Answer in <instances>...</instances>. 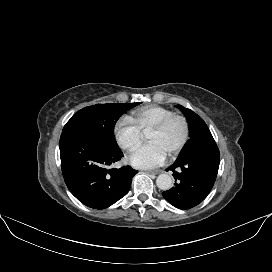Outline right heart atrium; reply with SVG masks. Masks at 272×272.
<instances>
[{
  "label": "right heart atrium",
  "mask_w": 272,
  "mask_h": 272,
  "mask_svg": "<svg viewBox=\"0 0 272 272\" xmlns=\"http://www.w3.org/2000/svg\"><path fill=\"white\" fill-rule=\"evenodd\" d=\"M114 136L122 149L132 151L141 143L142 133L130 119L121 118L115 123Z\"/></svg>",
  "instance_id": "d8ad5b80"
}]
</instances>
